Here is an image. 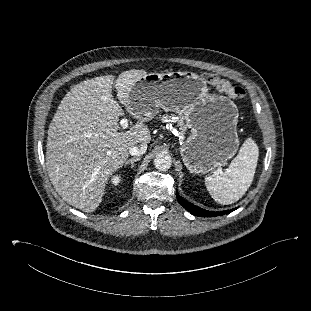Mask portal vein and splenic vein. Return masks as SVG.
<instances>
[{
    "instance_id": "portal-vein-and-splenic-vein-1",
    "label": "portal vein and splenic vein",
    "mask_w": 311,
    "mask_h": 311,
    "mask_svg": "<svg viewBox=\"0 0 311 311\" xmlns=\"http://www.w3.org/2000/svg\"><path fill=\"white\" fill-rule=\"evenodd\" d=\"M120 126L123 128V129H126L128 127V120L126 118H122L120 120Z\"/></svg>"
}]
</instances>
